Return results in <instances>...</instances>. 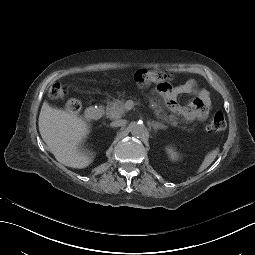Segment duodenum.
I'll list each match as a JSON object with an SVG mask.
<instances>
[{"label": "duodenum", "instance_id": "1", "mask_svg": "<svg viewBox=\"0 0 255 255\" xmlns=\"http://www.w3.org/2000/svg\"><path fill=\"white\" fill-rule=\"evenodd\" d=\"M103 110L100 107L91 106L86 109L85 116L87 119L95 121L101 118Z\"/></svg>", "mask_w": 255, "mask_h": 255}]
</instances>
